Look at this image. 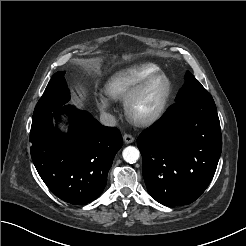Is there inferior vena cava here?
Segmentation results:
<instances>
[{
  "label": "inferior vena cava",
  "mask_w": 246,
  "mask_h": 246,
  "mask_svg": "<svg viewBox=\"0 0 246 246\" xmlns=\"http://www.w3.org/2000/svg\"><path fill=\"white\" fill-rule=\"evenodd\" d=\"M100 122L104 126H115L116 125L115 117L105 112L100 115Z\"/></svg>",
  "instance_id": "1"
}]
</instances>
